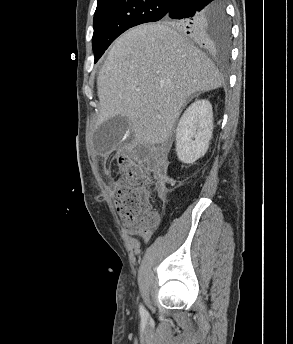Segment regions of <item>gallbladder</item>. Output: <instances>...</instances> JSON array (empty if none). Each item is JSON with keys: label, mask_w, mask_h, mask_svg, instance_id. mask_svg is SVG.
Returning a JSON list of instances; mask_svg holds the SVG:
<instances>
[{"label": "gallbladder", "mask_w": 293, "mask_h": 344, "mask_svg": "<svg viewBox=\"0 0 293 344\" xmlns=\"http://www.w3.org/2000/svg\"><path fill=\"white\" fill-rule=\"evenodd\" d=\"M129 125L130 121L122 116H115L104 121L93 136L96 152L99 154L111 152L121 142Z\"/></svg>", "instance_id": "bac80fb5"}]
</instances>
